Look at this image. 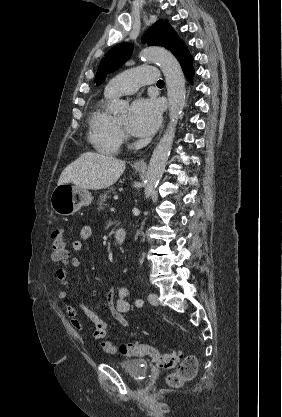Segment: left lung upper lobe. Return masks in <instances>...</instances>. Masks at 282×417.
Here are the masks:
<instances>
[{
  "label": "left lung upper lobe",
  "instance_id": "5c2ea615",
  "mask_svg": "<svg viewBox=\"0 0 282 417\" xmlns=\"http://www.w3.org/2000/svg\"><path fill=\"white\" fill-rule=\"evenodd\" d=\"M143 41L148 45L163 46L173 53L178 47L185 45L167 20H159L152 25L145 33ZM132 50L133 46L129 43H120L111 48L99 64L95 77L96 85H100L104 81L107 73L121 67L130 57Z\"/></svg>",
  "mask_w": 282,
  "mask_h": 417
}]
</instances>
